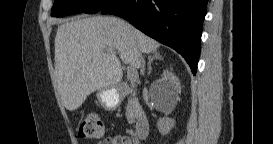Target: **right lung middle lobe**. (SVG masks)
<instances>
[{"mask_svg":"<svg viewBox=\"0 0 273 144\" xmlns=\"http://www.w3.org/2000/svg\"><path fill=\"white\" fill-rule=\"evenodd\" d=\"M111 0H55L51 16L63 17L76 13L93 14L100 11Z\"/></svg>","mask_w":273,"mask_h":144,"instance_id":"1","label":"right lung middle lobe"}]
</instances>
